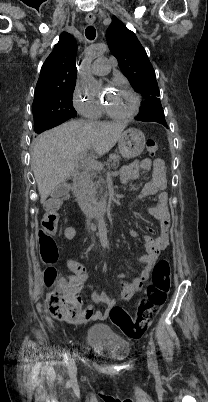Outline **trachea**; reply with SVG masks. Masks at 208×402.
Instances as JSON below:
<instances>
[{
  "instance_id": "trachea-1",
  "label": "trachea",
  "mask_w": 208,
  "mask_h": 402,
  "mask_svg": "<svg viewBox=\"0 0 208 402\" xmlns=\"http://www.w3.org/2000/svg\"><path fill=\"white\" fill-rule=\"evenodd\" d=\"M85 35L88 38V40H94L96 37V30L92 25H89L86 30H85Z\"/></svg>"
}]
</instances>
